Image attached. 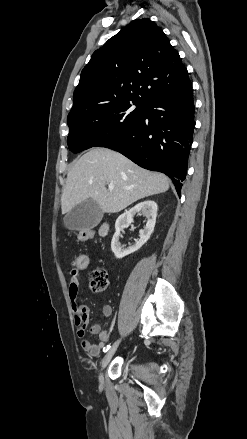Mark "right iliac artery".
<instances>
[{
  "label": "right iliac artery",
  "mask_w": 247,
  "mask_h": 439,
  "mask_svg": "<svg viewBox=\"0 0 247 439\" xmlns=\"http://www.w3.org/2000/svg\"><path fill=\"white\" fill-rule=\"evenodd\" d=\"M110 348V344L103 348V352H107Z\"/></svg>",
  "instance_id": "82829eb1"
}]
</instances>
